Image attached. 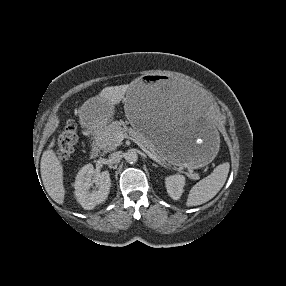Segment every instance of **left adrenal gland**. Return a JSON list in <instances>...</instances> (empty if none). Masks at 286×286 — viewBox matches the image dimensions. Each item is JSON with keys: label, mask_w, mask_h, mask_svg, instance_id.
I'll list each match as a JSON object with an SVG mask.
<instances>
[{"label": "left adrenal gland", "mask_w": 286, "mask_h": 286, "mask_svg": "<svg viewBox=\"0 0 286 286\" xmlns=\"http://www.w3.org/2000/svg\"><path fill=\"white\" fill-rule=\"evenodd\" d=\"M152 165H153L154 167L158 168V165H156L155 163H152Z\"/></svg>", "instance_id": "obj_1"}]
</instances>
